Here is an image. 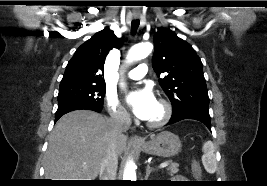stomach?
Instances as JSON below:
<instances>
[{
  "label": "stomach",
  "instance_id": "0dacf381",
  "mask_svg": "<svg viewBox=\"0 0 267 186\" xmlns=\"http://www.w3.org/2000/svg\"><path fill=\"white\" fill-rule=\"evenodd\" d=\"M137 147L146 154L171 157L180 152L182 145L177 135L163 131L157 135H151L150 140Z\"/></svg>",
  "mask_w": 267,
  "mask_h": 186
}]
</instances>
